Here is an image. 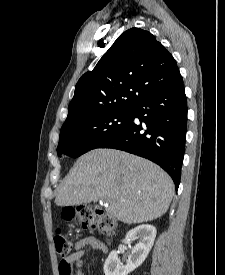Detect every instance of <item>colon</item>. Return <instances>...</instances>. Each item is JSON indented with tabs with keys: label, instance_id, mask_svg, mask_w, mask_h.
<instances>
[{
	"label": "colon",
	"instance_id": "obj_1",
	"mask_svg": "<svg viewBox=\"0 0 225 275\" xmlns=\"http://www.w3.org/2000/svg\"><path fill=\"white\" fill-rule=\"evenodd\" d=\"M63 217L65 219L76 217L83 228L97 230L102 234L113 233L118 227L113 216L91 206H80L75 210H66L63 212ZM54 244L56 252L63 257L60 261V275H72L73 266L71 262L65 259L72 250V241L61 234H56Z\"/></svg>",
	"mask_w": 225,
	"mask_h": 275
}]
</instances>
